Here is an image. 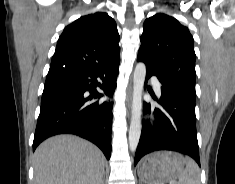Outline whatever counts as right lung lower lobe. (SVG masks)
Instances as JSON below:
<instances>
[{"mask_svg":"<svg viewBox=\"0 0 235 184\" xmlns=\"http://www.w3.org/2000/svg\"><path fill=\"white\" fill-rule=\"evenodd\" d=\"M118 66L96 71L49 70L41 100V109L33 141V151L45 139L58 134H75L96 144L111 156L112 103L90 102L102 97L101 89L111 96L116 87ZM89 91L90 96L85 97Z\"/></svg>","mask_w":235,"mask_h":184,"instance_id":"98d812e1","label":"right lung lower lobe"}]
</instances>
